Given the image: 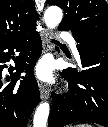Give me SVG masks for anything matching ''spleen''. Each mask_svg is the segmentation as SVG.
I'll return each instance as SVG.
<instances>
[{
    "mask_svg": "<svg viewBox=\"0 0 108 127\" xmlns=\"http://www.w3.org/2000/svg\"><path fill=\"white\" fill-rule=\"evenodd\" d=\"M78 127H92L90 124L84 123V124H80L77 125Z\"/></svg>",
    "mask_w": 108,
    "mask_h": 127,
    "instance_id": "spleen-1",
    "label": "spleen"
}]
</instances>
